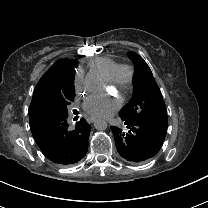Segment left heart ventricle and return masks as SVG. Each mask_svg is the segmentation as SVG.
I'll list each match as a JSON object with an SVG mask.
<instances>
[{
    "instance_id": "left-heart-ventricle-1",
    "label": "left heart ventricle",
    "mask_w": 208,
    "mask_h": 208,
    "mask_svg": "<svg viewBox=\"0 0 208 208\" xmlns=\"http://www.w3.org/2000/svg\"><path fill=\"white\" fill-rule=\"evenodd\" d=\"M105 84V80L96 88V89H94L92 92H93V94H95L94 92L99 88V87H101V86H103Z\"/></svg>"
}]
</instances>
